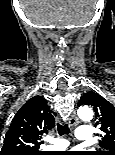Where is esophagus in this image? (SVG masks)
<instances>
[{"label": "esophagus", "mask_w": 115, "mask_h": 155, "mask_svg": "<svg viewBox=\"0 0 115 155\" xmlns=\"http://www.w3.org/2000/svg\"><path fill=\"white\" fill-rule=\"evenodd\" d=\"M69 125L70 126H76L78 123V117L75 113H73L70 117H69Z\"/></svg>", "instance_id": "esophagus-1"}]
</instances>
